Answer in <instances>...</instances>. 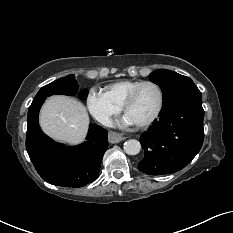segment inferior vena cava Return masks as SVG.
Here are the masks:
<instances>
[{"label": "inferior vena cava", "instance_id": "602c4592", "mask_svg": "<svg viewBox=\"0 0 233 233\" xmlns=\"http://www.w3.org/2000/svg\"><path fill=\"white\" fill-rule=\"evenodd\" d=\"M101 123L105 126H111L112 125V120L109 117H104L101 120Z\"/></svg>", "mask_w": 233, "mask_h": 233}]
</instances>
